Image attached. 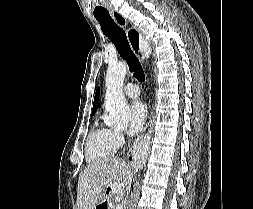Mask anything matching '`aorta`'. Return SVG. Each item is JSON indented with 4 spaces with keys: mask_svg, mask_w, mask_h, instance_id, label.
Instances as JSON below:
<instances>
[{
    "mask_svg": "<svg viewBox=\"0 0 253 209\" xmlns=\"http://www.w3.org/2000/svg\"><path fill=\"white\" fill-rule=\"evenodd\" d=\"M128 70L126 62L110 64L106 74L105 123L115 128H125L128 124L130 108L123 92V83Z\"/></svg>",
    "mask_w": 253,
    "mask_h": 209,
    "instance_id": "762f6f07",
    "label": "aorta"
}]
</instances>
